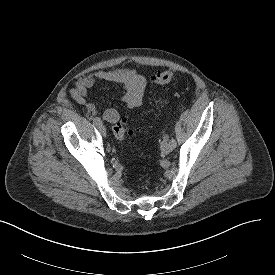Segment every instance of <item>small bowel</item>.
I'll use <instances>...</instances> for the list:
<instances>
[{"mask_svg":"<svg viewBox=\"0 0 275 275\" xmlns=\"http://www.w3.org/2000/svg\"><path fill=\"white\" fill-rule=\"evenodd\" d=\"M101 84L120 85L123 89L121 102L125 109L139 108L143 103L146 89V79L134 69L123 68L107 71H97L77 79L74 87L69 90L75 101L83 106L90 117L102 119L114 124L120 119V113L114 108L100 111L88 100L89 90Z\"/></svg>","mask_w":275,"mask_h":275,"instance_id":"obj_1","label":"small bowel"}]
</instances>
